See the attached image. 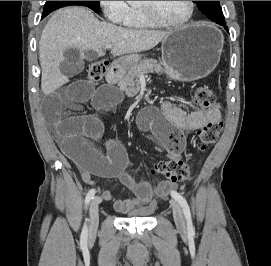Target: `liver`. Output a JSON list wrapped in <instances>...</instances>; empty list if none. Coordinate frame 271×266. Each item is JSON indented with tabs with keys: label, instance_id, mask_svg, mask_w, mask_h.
Segmentation results:
<instances>
[{
	"label": "liver",
	"instance_id": "6515ba94",
	"mask_svg": "<svg viewBox=\"0 0 271 266\" xmlns=\"http://www.w3.org/2000/svg\"><path fill=\"white\" fill-rule=\"evenodd\" d=\"M169 34L102 22L84 7L58 10L47 22L39 42L42 91L49 95L68 82V77L60 71L68 48L78 49L83 58L89 51L104 55L105 46L112 44L111 54L121 56L150 50Z\"/></svg>",
	"mask_w": 271,
	"mask_h": 266
}]
</instances>
